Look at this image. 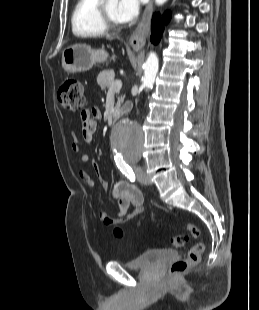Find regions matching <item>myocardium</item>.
Wrapping results in <instances>:
<instances>
[{
	"label": "myocardium",
	"mask_w": 259,
	"mask_h": 310,
	"mask_svg": "<svg viewBox=\"0 0 259 310\" xmlns=\"http://www.w3.org/2000/svg\"><path fill=\"white\" fill-rule=\"evenodd\" d=\"M97 18L101 26L107 30H113L119 28L120 24L113 21L107 14L105 8V0H100L99 4L97 5Z\"/></svg>",
	"instance_id": "f54148a6"
}]
</instances>
